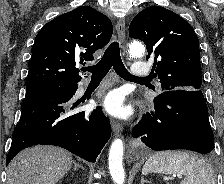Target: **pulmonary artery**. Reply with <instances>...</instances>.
Listing matches in <instances>:
<instances>
[{
    "label": "pulmonary artery",
    "mask_w": 224,
    "mask_h": 184,
    "mask_svg": "<svg viewBox=\"0 0 224 184\" xmlns=\"http://www.w3.org/2000/svg\"><path fill=\"white\" fill-rule=\"evenodd\" d=\"M149 73H150L149 65L145 62H136L133 65L132 70L130 72V74L136 78L146 77L147 75H149Z\"/></svg>",
    "instance_id": "1"
}]
</instances>
